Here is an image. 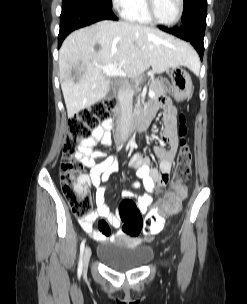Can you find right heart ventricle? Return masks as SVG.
I'll return each instance as SVG.
<instances>
[{
  "instance_id": "1",
  "label": "right heart ventricle",
  "mask_w": 247,
  "mask_h": 304,
  "mask_svg": "<svg viewBox=\"0 0 247 304\" xmlns=\"http://www.w3.org/2000/svg\"><path fill=\"white\" fill-rule=\"evenodd\" d=\"M123 16L126 20L141 24H150L152 20L147 14L145 0H134L124 12Z\"/></svg>"
}]
</instances>
